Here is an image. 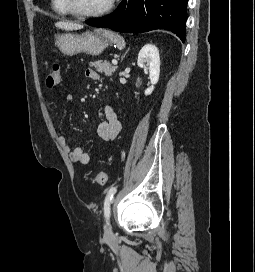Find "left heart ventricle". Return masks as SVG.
Listing matches in <instances>:
<instances>
[{
  "instance_id": "left-heart-ventricle-1",
  "label": "left heart ventricle",
  "mask_w": 255,
  "mask_h": 272,
  "mask_svg": "<svg viewBox=\"0 0 255 272\" xmlns=\"http://www.w3.org/2000/svg\"><path fill=\"white\" fill-rule=\"evenodd\" d=\"M72 2L78 11L88 13L102 9L108 0H72Z\"/></svg>"
}]
</instances>
